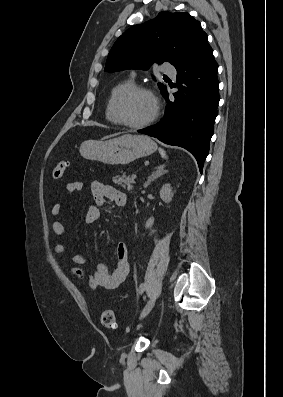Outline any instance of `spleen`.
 Instances as JSON below:
<instances>
[{
  "label": "spleen",
  "mask_w": 283,
  "mask_h": 397,
  "mask_svg": "<svg viewBox=\"0 0 283 397\" xmlns=\"http://www.w3.org/2000/svg\"><path fill=\"white\" fill-rule=\"evenodd\" d=\"M159 153H160L162 158L167 159L166 152L162 148H159Z\"/></svg>",
  "instance_id": "obj_1"
}]
</instances>
